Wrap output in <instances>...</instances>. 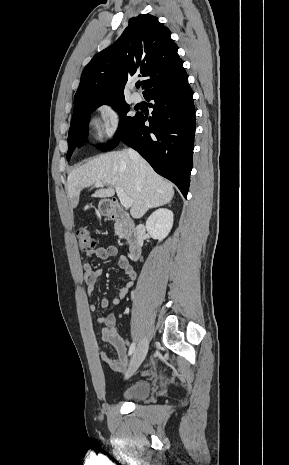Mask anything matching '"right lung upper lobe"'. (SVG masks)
I'll return each mask as SVG.
<instances>
[{
  "label": "right lung upper lobe",
  "instance_id": "obj_1",
  "mask_svg": "<svg viewBox=\"0 0 289 465\" xmlns=\"http://www.w3.org/2000/svg\"><path fill=\"white\" fill-rule=\"evenodd\" d=\"M177 45L158 18L140 14L129 21L119 39L96 54L84 68L74 106L91 100L124 99V86L142 76L144 97L187 79ZM73 120V117H72Z\"/></svg>",
  "mask_w": 289,
  "mask_h": 465
}]
</instances>
